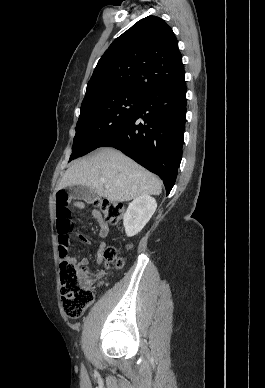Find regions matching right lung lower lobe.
Returning a JSON list of instances; mask_svg holds the SVG:
<instances>
[{"label": "right lung lower lobe", "instance_id": "98d812e1", "mask_svg": "<svg viewBox=\"0 0 265 388\" xmlns=\"http://www.w3.org/2000/svg\"><path fill=\"white\" fill-rule=\"evenodd\" d=\"M185 120L186 83L183 77L145 93L137 110L98 147L117 148L157 174L168 195L182 159Z\"/></svg>", "mask_w": 265, "mask_h": 388}]
</instances>
